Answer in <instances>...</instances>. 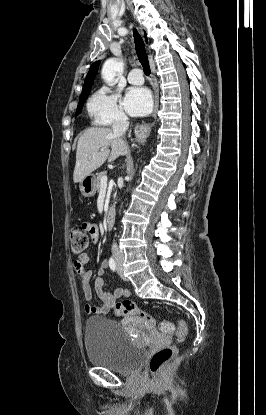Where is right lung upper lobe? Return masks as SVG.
Masks as SVG:
<instances>
[{"mask_svg":"<svg viewBox=\"0 0 266 415\" xmlns=\"http://www.w3.org/2000/svg\"><path fill=\"white\" fill-rule=\"evenodd\" d=\"M146 41H147V38H146ZM99 64H100V61H96L95 63L91 65L89 72L86 76L85 83H84L83 90H82L80 97L89 94L91 90V86L93 85V82H94V78L97 74Z\"/></svg>","mask_w":266,"mask_h":415,"instance_id":"right-lung-upper-lobe-1","label":"right lung upper lobe"}]
</instances>
